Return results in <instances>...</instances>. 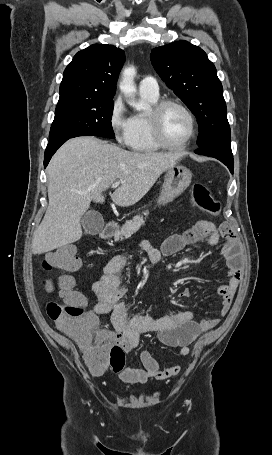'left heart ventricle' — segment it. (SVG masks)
I'll return each instance as SVG.
<instances>
[{
  "label": "left heart ventricle",
  "mask_w": 272,
  "mask_h": 455,
  "mask_svg": "<svg viewBox=\"0 0 272 455\" xmlns=\"http://www.w3.org/2000/svg\"><path fill=\"white\" fill-rule=\"evenodd\" d=\"M162 132L170 144H180L190 133V122L187 115L178 107H168L162 116Z\"/></svg>",
  "instance_id": "b2bd125f"
}]
</instances>
